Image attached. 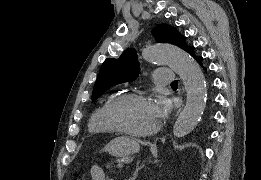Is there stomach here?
I'll return each instance as SVG.
<instances>
[{
	"mask_svg": "<svg viewBox=\"0 0 261 180\" xmlns=\"http://www.w3.org/2000/svg\"><path fill=\"white\" fill-rule=\"evenodd\" d=\"M139 150V143L129 137H116L103 148V151L118 158L138 153Z\"/></svg>",
	"mask_w": 261,
	"mask_h": 180,
	"instance_id": "obj_1",
	"label": "stomach"
}]
</instances>
